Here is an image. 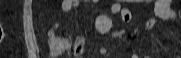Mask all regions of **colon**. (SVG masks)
<instances>
[{"label":"colon","instance_id":"colon-1","mask_svg":"<svg viewBox=\"0 0 181 58\" xmlns=\"http://www.w3.org/2000/svg\"><path fill=\"white\" fill-rule=\"evenodd\" d=\"M80 48H81V43H78L77 44V49L80 50Z\"/></svg>","mask_w":181,"mask_h":58}]
</instances>
